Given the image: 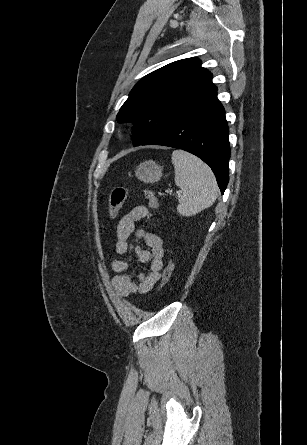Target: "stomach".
I'll return each instance as SVG.
<instances>
[{
	"label": "stomach",
	"mask_w": 307,
	"mask_h": 445,
	"mask_svg": "<svg viewBox=\"0 0 307 445\" xmlns=\"http://www.w3.org/2000/svg\"><path fill=\"white\" fill-rule=\"evenodd\" d=\"M162 166L155 160H144L136 166L135 174L143 182H158L162 176Z\"/></svg>",
	"instance_id": "0dacf381"
}]
</instances>
